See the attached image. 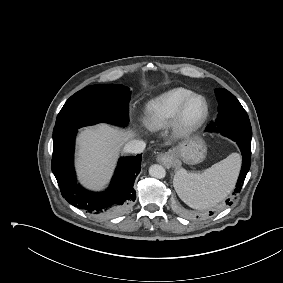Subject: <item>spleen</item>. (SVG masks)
Returning a JSON list of instances; mask_svg holds the SVG:
<instances>
[{"instance_id":"1","label":"spleen","mask_w":283,"mask_h":283,"mask_svg":"<svg viewBox=\"0 0 283 283\" xmlns=\"http://www.w3.org/2000/svg\"><path fill=\"white\" fill-rule=\"evenodd\" d=\"M240 155L232 153L202 173L177 171L174 187L180 199L194 209H207L231 192L240 169Z\"/></svg>"}]
</instances>
